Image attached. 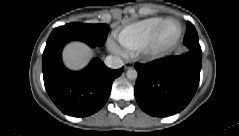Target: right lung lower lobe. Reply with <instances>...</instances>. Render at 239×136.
Segmentation results:
<instances>
[{
  "instance_id": "right-lung-lower-lobe-1",
  "label": "right lung lower lobe",
  "mask_w": 239,
  "mask_h": 136,
  "mask_svg": "<svg viewBox=\"0 0 239 136\" xmlns=\"http://www.w3.org/2000/svg\"><path fill=\"white\" fill-rule=\"evenodd\" d=\"M70 40L72 39L60 31H55L48 38L42 56L44 85L53 103L64 114L86 117L104 106L111 93L113 81L122 74L124 68L112 70L100 59L94 58L80 72L67 70L61 61V51ZM86 43L92 47L96 45Z\"/></svg>"
}]
</instances>
